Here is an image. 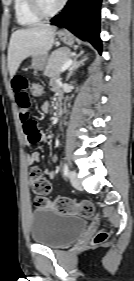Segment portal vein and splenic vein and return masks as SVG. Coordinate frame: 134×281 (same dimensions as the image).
Returning a JSON list of instances; mask_svg holds the SVG:
<instances>
[{
  "label": "portal vein and splenic vein",
  "mask_w": 134,
  "mask_h": 281,
  "mask_svg": "<svg viewBox=\"0 0 134 281\" xmlns=\"http://www.w3.org/2000/svg\"><path fill=\"white\" fill-rule=\"evenodd\" d=\"M72 59H69V60H67L64 64H63V66L60 68V72H64L65 70H67L70 66H71V64H72Z\"/></svg>",
  "instance_id": "18ae733b"
}]
</instances>
